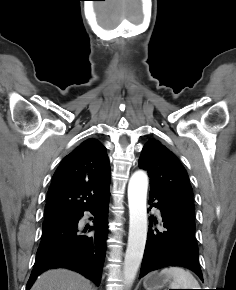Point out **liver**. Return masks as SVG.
<instances>
[{
  "instance_id": "liver-1",
  "label": "liver",
  "mask_w": 236,
  "mask_h": 290,
  "mask_svg": "<svg viewBox=\"0 0 236 290\" xmlns=\"http://www.w3.org/2000/svg\"><path fill=\"white\" fill-rule=\"evenodd\" d=\"M31 290H94L90 281L67 269H52L44 272Z\"/></svg>"
}]
</instances>
